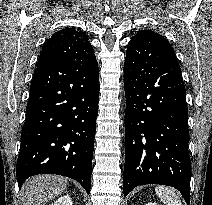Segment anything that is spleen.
Segmentation results:
<instances>
[{"label":"spleen","mask_w":212,"mask_h":205,"mask_svg":"<svg viewBox=\"0 0 212 205\" xmlns=\"http://www.w3.org/2000/svg\"><path fill=\"white\" fill-rule=\"evenodd\" d=\"M155 192L165 205H183L178 192L173 188L158 186Z\"/></svg>","instance_id":"3e777b00"}]
</instances>
